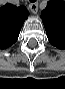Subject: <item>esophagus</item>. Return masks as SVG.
<instances>
[{"label": "esophagus", "instance_id": "1", "mask_svg": "<svg viewBox=\"0 0 65 89\" xmlns=\"http://www.w3.org/2000/svg\"><path fill=\"white\" fill-rule=\"evenodd\" d=\"M29 8L33 14H36L38 11V3L37 2L30 3Z\"/></svg>", "mask_w": 65, "mask_h": 89}]
</instances>
